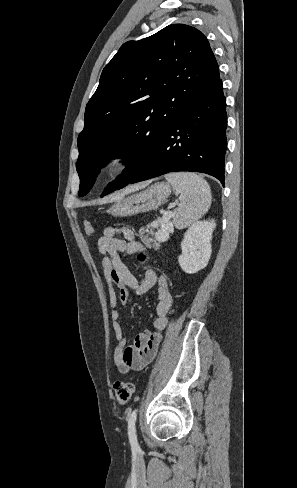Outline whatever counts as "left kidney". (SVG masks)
Returning a JSON list of instances; mask_svg holds the SVG:
<instances>
[{"label": "left kidney", "instance_id": "left-kidney-1", "mask_svg": "<svg viewBox=\"0 0 297 488\" xmlns=\"http://www.w3.org/2000/svg\"><path fill=\"white\" fill-rule=\"evenodd\" d=\"M215 227L213 219L197 221L189 226L181 242L182 254L178 257L179 265L184 272L194 274L207 266Z\"/></svg>", "mask_w": 297, "mask_h": 488}]
</instances>
